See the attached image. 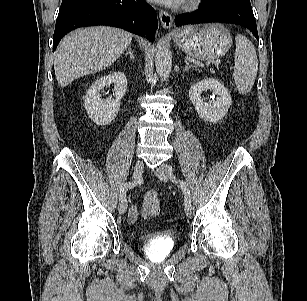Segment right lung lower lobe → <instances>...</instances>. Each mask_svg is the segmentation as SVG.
<instances>
[{"label":"right lung lower lobe","mask_w":307,"mask_h":301,"mask_svg":"<svg viewBox=\"0 0 307 301\" xmlns=\"http://www.w3.org/2000/svg\"><path fill=\"white\" fill-rule=\"evenodd\" d=\"M109 25L154 40L158 27L155 10L144 0H62L53 36V51L71 30Z\"/></svg>","instance_id":"right-lung-lower-lobe-1"}]
</instances>
